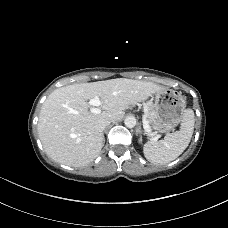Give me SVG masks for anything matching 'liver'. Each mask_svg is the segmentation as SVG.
Listing matches in <instances>:
<instances>
[{
  "label": "liver",
  "mask_w": 228,
  "mask_h": 228,
  "mask_svg": "<svg viewBox=\"0 0 228 228\" xmlns=\"http://www.w3.org/2000/svg\"><path fill=\"white\" fill-rule=\"evenodd\" d=\"M165 88L152 82L126 78L72 84L54 90L41 107L39 138L55 161L82 167L92 162L103 146L99 121H119L125 110ZM98 96L103 111L92 113L87 100Z\"/></svg>",
  "instance_id": "6515ba94"
}]
</instances>
